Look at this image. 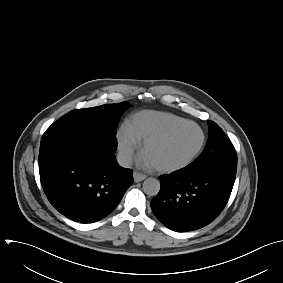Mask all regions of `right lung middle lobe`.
Instances as JSON below:
<instances>
[{
  "label": "right lung middle lobe",
  "mask_w": 283,
  "mask_h": 283,
  "mask_svg": "<svg viewBox=\"0 0 283 283\" xmlns=\"http://www.w3.org/2000/svg\"><path fill=\"white\" fill-rule=\"evenodd\" d=\"M129 104H106L87 109H76L53 123L43 134L40 149L70 136L89 132L116 134V123Z\"/></svg>",
  "instance_id": "right-lung-middle-lobe-1"
}]
</instances>
